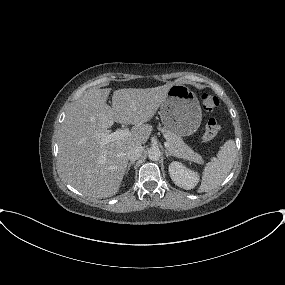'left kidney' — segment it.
<instances>
[{
  "label": "left kidney",
  "mask_w": 285,
  "mask_h": 285,
  "mask_svg": "<svg viewBox=\"0 0 285 285\" xmlns=\"http://www.w3.org/2000/svg\"><path fill=\"white\" fill-rule=\"evenodd\" d=\"M169 174L173 182L185 190H191L199 182L197 172L186 168L182 163L173 161L169 165Z\"/></svg>",
  "instance_id": "5707ae66"
}]
</instances>
